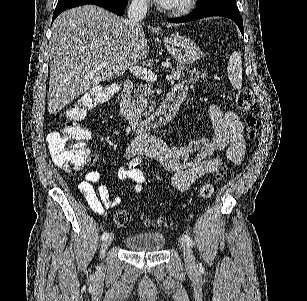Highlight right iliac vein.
Instances as JSON below:
<instances>
[{"mask_svg":"<svg viewBox=\"0 0 307 301\" xmlns=\"http://www.w3.org/2000/svg\"><path fill=\"white\" fill-rule=\"evenodd\" d=\"M113 239H114V234L111 233L110 235H108L107 238L103 240L102 245H101V251H100L101 257L104 256L105 250L112 243Z\"/></svg>","mask_w":307,"mask_h":301,"instance_id":"obj_1","label":"right iliac vein"}]
</instances>
